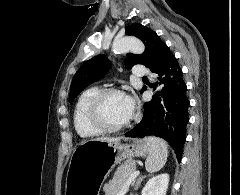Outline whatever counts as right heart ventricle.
Segmentation results:
<instances>
[{
  "label": "right heart ventricle",
  "mask_w": 240,
  "mask_h": 195,
  "mask_svg": "<svg viewBox=\"0 0 240 195\" xmlns=\"http://www.w3.org/2000/svg\"><path fill=\"white\" fill-rule=\"evenodd\" d=\"M100 91V88L96 86L88 88L80 95L76 103L74 124L77 132L83 138H93L103 134L100 129L90 122L88 115L89 105Z\"/></svg>",
  "instance_id": "obj_1"
}]
</instances>
